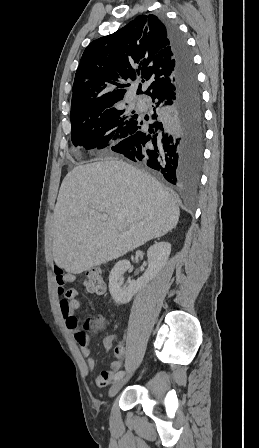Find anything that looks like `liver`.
I'll list each match as a JSON object with an SVG mask.
<instances>
[{"label":"liver","mask_w":259,"mask_h":448,"mask_svg":"<svg viewBox=\"0 0 259 448\" xmlns=\"http://www.w3.org/2000/svg\"><path fill=\"white\" fill-rule=\"evenodd\" d=\"M91 210L109 220L91 216ZM179 216L172 194L123 160L77 166L64 178L54 208V262L68 274H82L165 236Z\"/></svg>","instance_id":"liver-1"}]
</instances>
